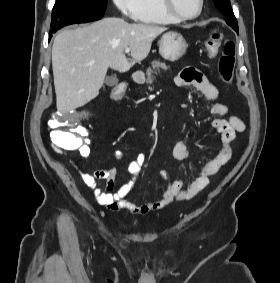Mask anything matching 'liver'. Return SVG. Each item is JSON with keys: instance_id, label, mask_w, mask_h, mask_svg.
<instances>
[{"instance_id": "obj_1", "label": "liver", "mask_w": 280, "mask_h": 283, "mask_svg": "<svg viewBox=\"0 0 280 283\" xmlns=\"http://www.w3.org/2000/svg\"><path fill=\"white\" fill-rule=\"evenodd\" d=\"M166 30L109 17L60 32L52 46L57 110L65 114L97 97L109 67L128 71L148 56L153 40ZM127 47L131 61L124 54Z\"/></svg>"}]
</instances>
